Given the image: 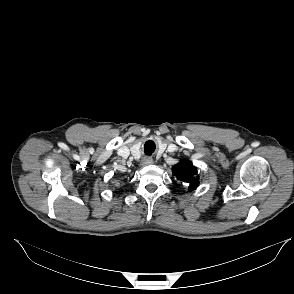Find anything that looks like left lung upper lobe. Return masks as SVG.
I'll return each mask as SVG.
<instances>
[{
	"mask_svg": "<svg viewBox=\"0 0 294 294\" xmlns=\"http://www.w3.org/2000/svg\"><path fill=\"white\" fill-rule=\"evenodd\" d=\"M196 173L197 169L188 160H182L173 167V174L178 180L189 184V191L194 190L199 184Z\"/></svg>",
	"mask_w": 294,
	"mask_h": 294,
	"instance_id": "1",
	"label": "left lung upper lobe"
}]
</instances>
